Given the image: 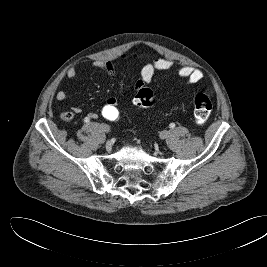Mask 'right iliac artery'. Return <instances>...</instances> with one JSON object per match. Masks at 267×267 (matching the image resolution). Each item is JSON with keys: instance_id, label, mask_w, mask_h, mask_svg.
I'll use <instances>...</instances> for the list:
<instances>
[{"instance_id": "1", "label": "right iliac artery", "mask_w": 267, "mask_h": 267, "mask_svg": "<svg viewBox=\"0 0 267 267\" xmlns=\"http://www.w3.org/2000/svg\"><path fill=\"white\" fill-rule=\"evenodd\" d=\"M84 121H85V122H89V118L86 117V118L84 119Z\"/></svg>"}]
</instances>
